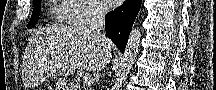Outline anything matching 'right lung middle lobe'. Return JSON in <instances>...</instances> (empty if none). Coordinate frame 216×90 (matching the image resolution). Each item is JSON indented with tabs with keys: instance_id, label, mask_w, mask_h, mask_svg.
<instances>
[{
	"instance_id": "obj_1",
	"label": "right lung middle lobe",
	"mask_w": 216,
	"mask_h": 90,
	"mask_svg": "<svg viewBox=\"0 0 216 90\" xmlns=\"http://www.w3.org/2000/svg\"><path fill=\"white\" fill-rule=\"evenodd\" d=\"M40 3H41V0H34L33 1L34 9H33V12H32L31 19H30V21L28 23V28L29 29L32 28L38 21Z\"/></svg>"
}]
</instances>
